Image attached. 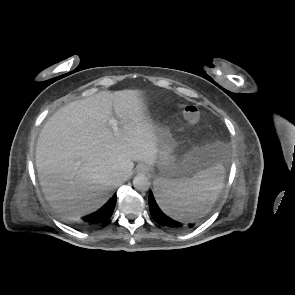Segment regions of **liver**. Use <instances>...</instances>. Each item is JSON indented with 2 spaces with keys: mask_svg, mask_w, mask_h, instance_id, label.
<instances>
[{
  "mask_svg": "<svg viewBox=\"0 0 295 295\" xmlns=\"http://www.w3.org/2000/svg\"><path fill=\"white\" fill-rule=\"evenodd\" d=\"M139 90L100 91L73 101L45 123L36 168L46 200L81 216L100 208L132 174L134 161L154 165L159 140ZM120 120L115 136L109 119Z\"/></svg>",
  "mask_w": 295,
  "mask_h": 295,
  "instance_id": "6515ba94",
  "label": "liver"
}]
</instances>
